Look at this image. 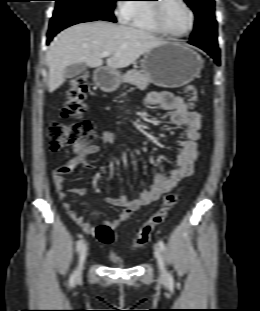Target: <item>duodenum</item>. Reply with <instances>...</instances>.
Returning a JSON list of instances; mask_svg holds the SVG:
<instances>
[{
  "label": "duodenum",
  "instance_id": "duodenum-1",
  "mask_svg": "<svg viewBox=\"0 0 260 311\" xmlns=\"http://www.w3.org/2000/svg\"><path fill=\"white\" fill-rule=\"evenodd\" d=\"M106 75V70L103 68H100L97 70V72L95 73V78L97 80V82L100 83V79L103 78Z\"/></svg>",
  "mask_w": 260,
  "mask_h": 311
}]
</instances>
